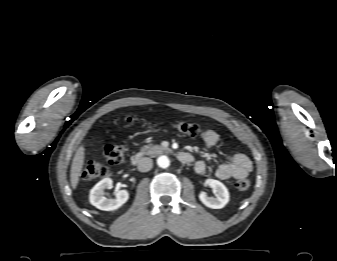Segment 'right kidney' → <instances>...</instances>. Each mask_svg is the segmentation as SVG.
<instances>
[{"instance_id": "right-kidney-1", "label": "right kidney", "mask_w": 337, "mask_h": 261, "mask_svg": "<svg viewBox=\"0 0 337 261\" xmlns=\"http://www.w3.org/2000/svg\"><path fill=\"white\" fill-rule=\"evenodd\" d=\"M113 181L110 178H104L98 182L90 191V203L96 208L104 211H111L121 207L129 198L125 190H116L114 198H106L104 190L111 188Z\"/></svg>"}]
</instances>
